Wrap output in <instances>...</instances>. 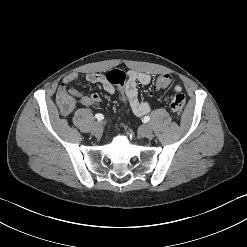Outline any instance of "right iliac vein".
<instances>
[{
	"instance_id": "63e3f726",
	"label": "right iliac vein",
	"mask_w": 247,
	"mask_h": 247,
	"mask_svg": "<svg viewBox=\"0 0 247 247\" xmlns=\"http://www.w3.org/2000/svg\"><path fill=\"white\" fill-rule=\"evenodd\" d=\"M103 131V127H102V124L101 123H94L93 127H92V133L95 134V135H99L101 134Z\"/></svg>"
}]
</instances>
